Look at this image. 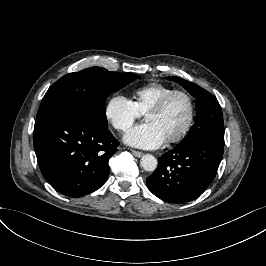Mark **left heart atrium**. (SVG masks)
Listing matches in <instances>:
<instances>
[{
  "mask_svg": "<svg viewBox=\"0 0 266 266\" xmlns=\"http://www.w3.org/2000/svg\"><path fill=\"white\" fill-rule=\"evenodd\" d=\"M124 140L130 145L151 149L162 145L166 138L154 123L146 122L128 131L124 136Z\"/></svg>",
  "mask_w": 266,
  "mask_h": 266,
  "instance_id": "39dd6f15",
  "label": "left heart atrium"
}]
</instances>
